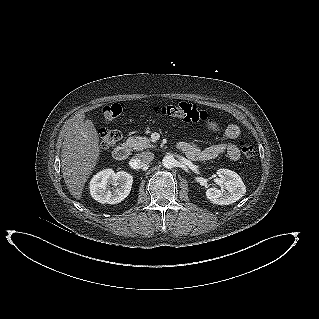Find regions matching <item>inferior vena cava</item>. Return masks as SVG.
Masks as SVG:
<instances>
[{
    "label": "inferior vena cava",
    "mask_w": 319,
    "mask_h": 319,
    "mask_svg": "<svg viewBox=\"0 0 319 319\" xmlns=\"http://www.w3.org/2000/svg\"><path fill=\"white\" fill-rule=\"evenodd\" d=\"M134 163L136 166L149 164L154 159V154L150 151H144L134 156Z\"/></svg>",
    "instance_id": "inferior-vena-cava-1"
}]
</instances>
